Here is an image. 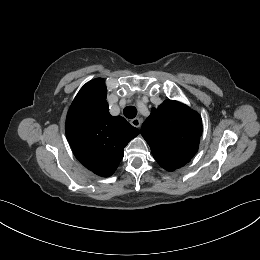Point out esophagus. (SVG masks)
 I'll return each instance as SVG.
<instances>
[{"instance_id":"34e87169","label":"esophagus","mask_w":260,"mask_h":260,"mask_svg":"<svg viewBox=\"0 0 260 260\" xmlns=\"http://www.w3.org/2000/svg\"><path fill=\"white\" fill-rule=\"evenodd\" d=\"M131 125H133L136 128H140L142 121L139 118H134L132 120H130Z\"/></svg>"}]
</instances>
